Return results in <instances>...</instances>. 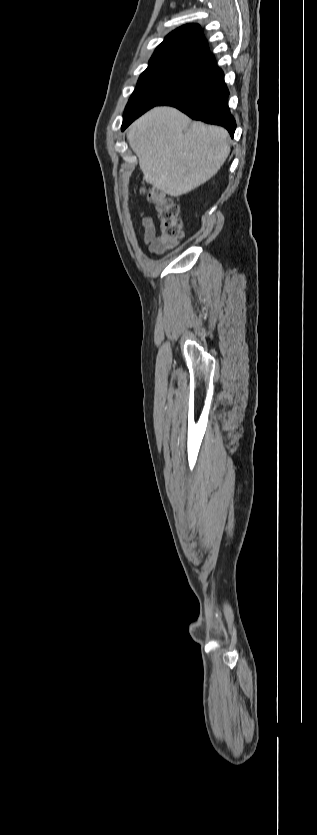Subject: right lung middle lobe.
<instances>
[{
  "instance_id": "dd1d6c3e",
  "label": "right lung middle lobe",
  "mask_w": 317,
  "mask_h": 835,
  "mask_svg": "<svg viewBox=\"0 0 317 835\" xmlns=\"http://www.w3.org/2000/svg\"><path fill=\"white\" fill-rule=\"evenodd\" d=\"M204 81L206 77L197 71L190 59L146 69L125 108L122 128H126L150 108Z\"/></svg>"
}]
</instances>
